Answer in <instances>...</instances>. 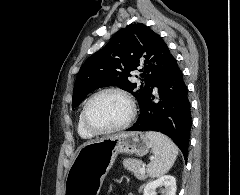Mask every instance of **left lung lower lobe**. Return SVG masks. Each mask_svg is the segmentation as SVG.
I'll list each match as a JSON object with an SVG mask.
<instances>
[{"label":"left lung lower lobe","mask_w":240,"mask_h":195,"mask_svg":"<svg viewBox=\"0 0 240 195\" xmlns=\"http://www.w3.org/2000/svg\"><path fill=\"white\" fill-rule=\"evenodd\" d=\"M158 101L153 102V88ZM188 90L176 59L172 56L152 84L136 123L128 131H157L170 137L187 159L192 117Z\"/></svg>","instance_id":"0a47b994"}]
</instances>
